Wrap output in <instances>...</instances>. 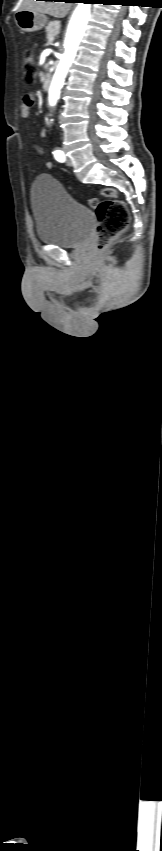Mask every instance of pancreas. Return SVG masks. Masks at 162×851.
Here are the masks:
<instances>
[{
    "label": "pancreas",
    "mask_w": 162,
    "mask_h": 851,
    "mask_svg": "<svg viewBox=\"0 0 162 851\" xmlns=\"http://www.w3.org/2000/svg\"><path fill=\"white\" fill-rule=\"evenodd\" d=\"M60 23L50 22L46 27L48 44H51V38H54L59 33Z\"/></svg>",
    "instance_id": "obj_1"
}]
</instances>
